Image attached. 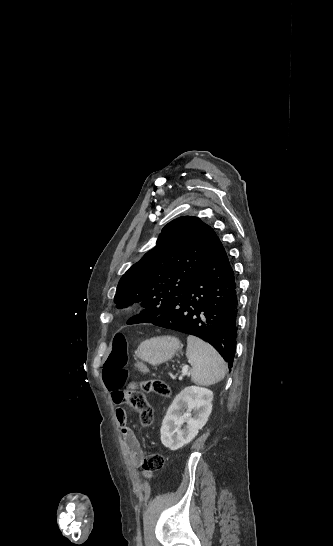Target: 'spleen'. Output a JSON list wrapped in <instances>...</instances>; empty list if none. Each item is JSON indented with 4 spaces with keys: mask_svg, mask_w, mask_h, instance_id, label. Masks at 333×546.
<instances>
[{
    "mask_svg": "<svg viewBox=\"0 0 333 546\" xmlns=\"http://www.w3.org/2000/svg\"><path fill=\"white\" fill-rule=\"evenodd\" d=\"M186 356L191 364L192 381L198 385H211L221 381L226 374V364L218 352L195 336L187 337Z\"/></svg>",
    "mask_w": 333,
    "mask_h": 546,
    "instance_id": "1",
    "label": "spleen"
}]
</instances>
